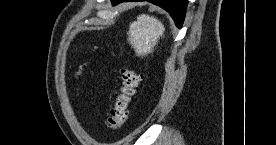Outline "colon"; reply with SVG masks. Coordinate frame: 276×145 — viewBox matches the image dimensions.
Returning <instances> with one entry per match:
<instances>
[{
	"label": "colon",
	"mask_w": 276,
	"mask_h": 145,
	"mask_svg": "<svg viewBox=\"0 0 276 145\" xmlns=\"http://www.w3.org/2000/svg\"><path fill=\"white\" fill-rule=\"evenodd\" d=\"M121 85L116 99L110 109L106 125L110 130H118L126 122L129 104L136 93L140 82V74L128 68L120 70Z\"/></svg>",
	"instance_id": "colon-1"
}]
</instances>
